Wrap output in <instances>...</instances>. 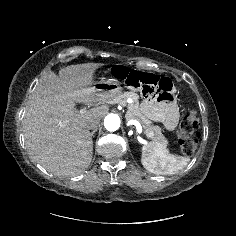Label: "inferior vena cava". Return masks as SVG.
<instances>
[{"label":"inferior vena cava","mask_w":236,"mask_h":236,"mask_svg":"<svg viewBox=\"0 0 236 236\" xmlns=\"http://www.w3.org/2000/svg\"><path fill=\"white\" fill-rule=\"evenodd\" d=\"M100 126V121L97 119H91L88 122V128L92 130H97V128Z\"/></svg>","instance_id":"inferior-vena-cava-1"}]
</instances>
